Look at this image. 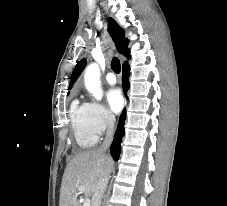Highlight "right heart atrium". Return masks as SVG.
<instances>
[{"mask_svg": "<svg viewBox=\"0 0 227 206\" xmlns=\"http://www.w3.org/2000/svg\"><path fill=\"white\" fill-rule=\"evenodd\" d=\"M89 124L97 135L110 130L114 124L111 113L99 102L92 101L86 104Z\"/></svg>", "mask_w": 227, "mask_h": 206, "instance_id": "right-heart-atrium-1", "label": "right heart atrium"}]
</instances>
